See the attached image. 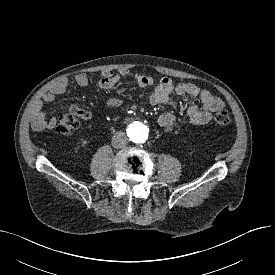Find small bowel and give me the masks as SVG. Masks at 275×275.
Masks as SVG:
<instances>
[{"instance_id":"small-bowel-1","label":"small bowel","mask_w":275,"mask_h":275,"mask_svg":"<svg viewBox=\"0 0 275 275\" xmlns=\"http://www.w3.org/2000/svg\"><path fill=\"white\" fill-rule=\"evenodd\" d=\"M101 78L97 82V87L102 90L110 89L122 78L134 80L141 87H152L153 91L148 96L147 100L152 105H167L172 109L177 108V104L170 98L172 93L187 99H198L200 104L190 105L187 108L188 123L191 125H205L210 122L212 114L221 110L224 107V102L217 96L213 95L206 89H201L197 85L192 83H174L169 78H161L155 81L152 77L132 72L128 69H120L114 73L109 70L101 72ZM75 82L79 86H86L88 84V77L85 74H77L75 76ZM67 79H59L54 82L46 94L43 95L42 100L45 103H51L54 101L55 96L64 93L67 89ZM120 100L114 98L107 104L108 108H114L118 106ZM70 112L82 118L83 120H89L91 113L87 110L80 108L77 105L70 106ZM159 125L166 131H171L175 116L172 112H166L159 117ZM57 123L55 117L48 118L46 114L38 109L32 118V128L36 131L53 129Z\"/></svg>"}]
</instances>
